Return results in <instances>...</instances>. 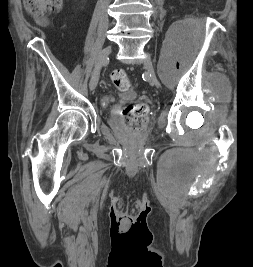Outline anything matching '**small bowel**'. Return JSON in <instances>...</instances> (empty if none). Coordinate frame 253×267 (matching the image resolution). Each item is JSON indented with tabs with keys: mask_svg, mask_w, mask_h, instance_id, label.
I'll use <instances>...</instances> for the list:
<instances>
[{
	"mask_svg": "<svg viewBox=\"0 0 253 267\" xmlns=\"http://www.w3.org/2000/svg\"><path fill=\"white\" fill-rule=\"evenodd\" d=\"M36 22L38 25H40L42 27H48L50 24L48 18H46V17L36 18Z\"/></svg>",
	"mask_w": 253,
	"mask_h": 267,
	"instance_id": "1",
	"label": "small bowel"
}]
</instances>
